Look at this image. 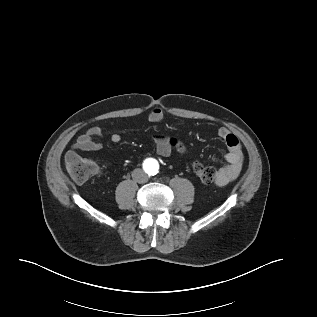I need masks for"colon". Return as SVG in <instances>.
<instances>
[{"label":"colon","mask_w":317,"mask_h":317,"mask_svg":"<svg viewBox=\"0 0 317 317\" xmlns=\"http://www.w3.org/2000/svg\"><path fill=\"white\" fill-rule=\"evenodd\" d=\"M68 168L72 178L78 183H83L91 178L97 170L93 161L83 158L71 160L68 162ZM192 168L202 183L211 184L216 180L217 170L213 165L195 161Z\"/></svg>","instance_id":"5ec220e1"}]
</instances>
